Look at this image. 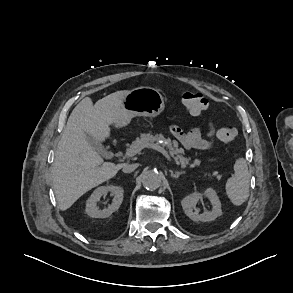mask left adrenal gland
Returning <instances> with one entry per match:
<instances>
[{"mask_svg": "<svg viewBox=\"0 0 293 293\" xmlns=\"http://www.w3.org/2000/svg\"><path fill=\"white\" fill-rule=\"evenodd\" d=\"M170 172H171L170 176L174 179H177L180 175L185 173L184 171H176L175 173L173 171H170Z\"/></svg>", "mask_w": 293, "mask_h": 293, "instance_id": "a2214340", "label": "left adrenal gland"}]
</instances>
